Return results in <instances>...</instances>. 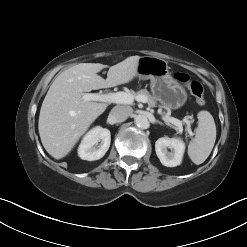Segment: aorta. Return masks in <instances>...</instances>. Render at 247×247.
I'll use <instances>...</instances> for the list:
<instances>
[{"instance_id":"762f6f07","label":"aorta","mask_w":247,"mask_h":247,"mask_svg":"<svg viewBox=\"0 0 247 247\" xmlns=\"http://www.w3.org/2000/svg\"><path fill=\"white\" fill-rule=\"evenodd\" d=\"M135 124L141 129H147L149 127V121L145 115H137L135 117Z\"/></svg>"}]
</instances>
